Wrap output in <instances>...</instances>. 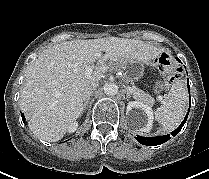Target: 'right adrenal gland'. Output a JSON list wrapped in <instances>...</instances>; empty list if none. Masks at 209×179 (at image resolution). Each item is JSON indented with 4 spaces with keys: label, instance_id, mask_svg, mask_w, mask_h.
Returning a JSON list of instances; mask_svg holds the SVG:
<instances>
[{
    "label": "right adrenal gland",
    "instance_id": "obj_1",
    "mask_svg": "<svg viewBox=\"0 0 209 179\" xmlns=\"http://www.w3.org/2000/svg\"><path fill=\"white\" fill-rule=\"evenodd\" d=\"M89 101H90V97H89V99L84 103V108H83L84 111H86L87 106H88V104H89Z\"/></svg>",
    "mask_w": 209,
    "mask_h": 179
}]
</instances>
